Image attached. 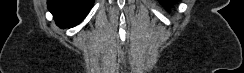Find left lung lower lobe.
Masks as SVG:
<instances>
[{"label": "left lung lower lobe", "mask_w": 244, "mask_h": 73, "mask_svg": "<svg viewBox=\"0 0 244 73\" xmlns=\"http://www.w3.org/2000/svg\"><path fill=\"white\" fill-rule=\"evenodd\" d=\"M160 3H162L164 6L169 8L171 5H173L176 0H158Z\"/></svg>", "instance_id": "0a47b994"}]
</instances>
